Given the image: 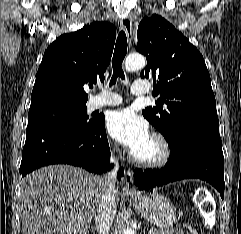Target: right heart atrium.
<instances>
[{
  "label": "right heart atrium",
  "instance_id": "obj_1",
  "mask_svg": "<svg viewBox=\"0 0 241 234\" xmlns=\"http://www.w3.org/2000/svg\"><path fill=\"white\" fill-rule=\"evenodd\" d=\"M117 152V145L115 143H111L109 145V153L114 156Z\"/></svg>",
  "mask_w": 241,
  "mask_h": 234
}]
</instances>
